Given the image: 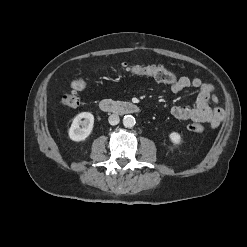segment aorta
<instances>
[{"mask_svg":"<svg viewBox=\"0 0 247 247\" xmlns=\"http://www.w3.org/2000/svg\"><path fill=\"white\" fill-rule=\"evenodd\" d=\"M136 121L135 118L132 115H126L123 118V125L126 128H131L135 125Z\"/></svg>","mask_w":247,"mask_h":247,"instance_id":"762f6f07","label":"aorta"}]
</instances>
